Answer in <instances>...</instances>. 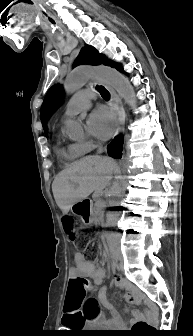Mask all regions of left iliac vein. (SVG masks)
<instances>
[{
    "label": "left iliac vein",
    "mask_w": 193,
    "mask_h": 336,
    "mask_svg": "<svg viewBox=\"0 0 193 336\" xmlns=\"http://www.w3.org/2000/svg\"><path fill=\"white\" fill-rule=\"evenodd\" d=\"M117 258H118V260L120 262L119 269L123 270L124 268H123V257H122V255H119Z\"/></svg>",
    "instance_id": "4c4485c4"
}]
</instances>
